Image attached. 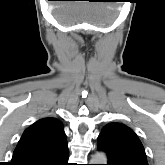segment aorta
I'll use <instances>...</instances> for the list:
<instances>
[{"label": "aorta", "mask_w": 165, "mask_h": 165, "mask_svg": "<svg viewBox=\"0 0 165 165\" xmlns=\"http://www.w3.org/2000/svg\"><path fill=\"white\" fill-rule=\"evenodd\" d=\"M91 164H107V156L103 152H98L92 156Z\"/></svg>", "instance_id": "762f6f07"}]
</instances>
